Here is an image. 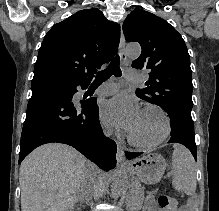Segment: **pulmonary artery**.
<instances>
[{"instance_id":"1","label":"pulmonary artery","mask_w":219,"mask_h":211,"mask_svg":"<svg viewBox=\"0 0 219 211\" xmlns=\"http://www.w3.org/2000/svg\"><path fill=\"white\" fill-rule=\"evenodd\" d=\"M127 74H139V69H127ZM125 79L128 81L139 80V75H125ZM118 85L114 82H104L98 86L94 93L99 96L111 95L118 91Z\"/></svg>"}]
</instances>
